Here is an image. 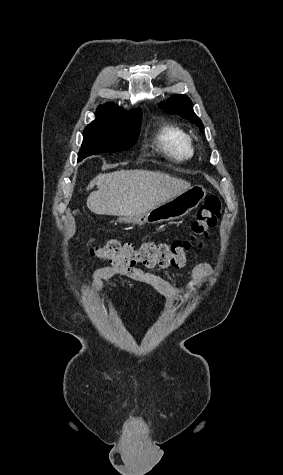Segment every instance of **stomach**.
Listing matches in <instances>:
<instances>
[{
    "mask_svg": "<svg viewBox=\"0 0 283 475\" xmlns=\"http://www.w3.org/2000/svg\"><path fill=\"white\" fill-rule=\"evenodd\" d=\"M206 198V190L203 186H193L184 194H179L176 198H171L167 202H162L156 208L139 214V216H119L117 222L121 224H162V222H171L182 218L191 210H195Z\"/></svg>",
    "mask_w": 283,
    "mask_h": 475,
    "instance_id": "stomach-1",
    "label": "stomach"
}]
</instances>
